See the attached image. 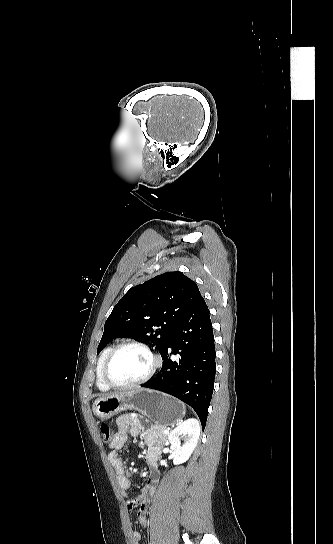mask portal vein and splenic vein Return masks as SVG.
<instances>
[{
	"instance_id": "18ae733b",
	"label": "portal vein and splenic vein",
	"mask_w": 333,
	"mask_h": 544,
	"mask_svg": "<svg viewBox=\"0 0 333 544\" xmlns=\"http://www.w3.org/2000/svg\"><path fill=\"white\" fill-rule=\"evenodd\" d=\"M169 431L168 430H165V433H168Z\"/></svg>"
}]
</instances>
